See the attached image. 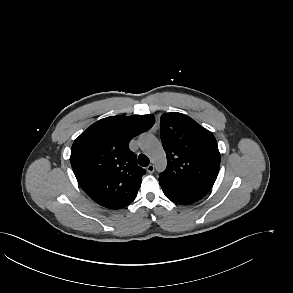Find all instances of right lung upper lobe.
I'll use <instances>...</instances> for the list:
<instances>
[{"label":"right lung upper lobe","mask_w":293,"mask_h":293,"mask_svg":"<svg viewBox=\"0 0 293 293\" xmlns=\"http://www.w3.org/2000/svg\"><path fill=\"white\" fill-rule=\"evenodd\" d=\"M154 122L151 114L111 116L91 125L74 141L71 166L92 200L106 208L120 209L136 198L145 170L137 165L129 142Z\"/></svg>","instance_id":"cb5924a9"}]
</instances>
